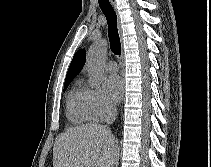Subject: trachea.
Returning a JSON list of instances; mask_svg holds the SVG:
<instances>
[{"mask_svg": "<svg viewBox=\"0 0 211 167\" xmlns=\"http://www.w3.org/2000/svg\"><path fill=\"white\" fill-rule=\"evenodd\" d=\"M99 6L104 13L108 24V37L110 41L111 51L115 55L121 54V44L117 29V16L114 8L110 4L109 0H98Z\"/></svg>", "mask_w": 211, "mask_h": 167, "instance_id": "3493384b", "label": "trachea"}]
</instances>
